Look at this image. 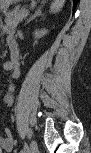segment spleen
I'll use <instances>...</instances> for the list:
<instances>
[{
    "instance_id": "1",
    "label": "spleen",
    "mask_w": 91,
    "mask_h": 153,
    "mask_svg": "<svg viewBox=\"0 0 91 153\" xmlns=\"http://www.w3.org/2000/svg\"><path fill=\"white\" fill-rule=\"evenodd\" d=\"M64 5L63 0H56L51 4L50 11L51 13H57L61 10Z\"/></svg>"
}]
</instances>
